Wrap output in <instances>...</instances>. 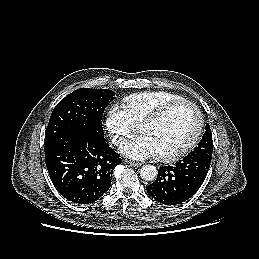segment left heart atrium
Listing matches in <instances>:
<instances>
[{"instance_id": "1", "label": "left heart atrium", "mask_w": 259, "mask_h": 259, "mask_svg": "<svg viewBox=\"0 0 259 259\" xmlns=\"http://www.w3.org/2000/svg\"><path fill=\"white\" fill-rule=\"evenodd\" d=\"M120 150L126 156L138 160L157 156V152L152 142L145 135H141L133 140L123 143Z\"/></svg>"}]
</instances>
